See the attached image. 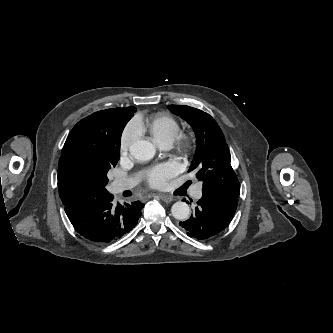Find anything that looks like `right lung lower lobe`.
Instances as JSON below:
<instances>
[{"label":"right lung lower lobe","instance_id":"1","mask_svg":"<svg viewBox=\"0 0 333 333\" xmlns=\"http://www.w3.org/2000/svg\"><path fill=\"white\" fill-rule=\"evenodd\" d=\"M144 204H114L113 195L94 198L65 207V212L74 229L84 238L98 244L118 240L130 232L141 216Z\"/></svg>","mask_w":333,"mask_h":333}]
</instances>
